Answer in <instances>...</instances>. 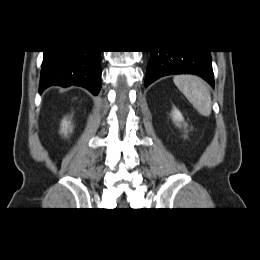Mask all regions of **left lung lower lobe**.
Instances as JSON below:
<instances>
[{
    "label": "left lung lower lobe",
    "instance_id": "left-lung-lower-lobe-1",
    "mask_svg": "<svg viewBox=\"0 0 260 260\" xmlns=\"http://www.w3.org/2000/svg\"><path fill=\"white\" fill-rule=\"evenodd\" d=\"M145 87L162 76L170 74H195L214 87L210 51H151Z\"/></svg>",
    "mask_w": 260,
    "mask_h": 260
}]
</instances>
